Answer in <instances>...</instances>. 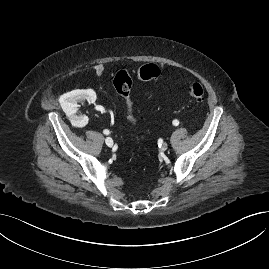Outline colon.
<instances>
[{
    "instance_id": "colon-1",
    "label": "colon",
    "mask_w": 269,
    "mask_h": 269,
    "mask_svg": "<svg viewBox=\"0 0 269 269\" xmlns=\"http://www.w3.org/2000/svg\"><path fill=\"white\" fill-rule=\"evenodd\" d=\"M160 75L161 69L156 65H145L141 67L138 72V77L143 80L158 78ZM113 85L124 100L128 119L132 123H136L138 118L133 112V101L131 97L133 79L131 75L125 70H120L113 79ZM188 95L193 101H201L204 97V89L202 85L199 83L191 84L188 87Z\"/></svg>"
}]
</instances>
